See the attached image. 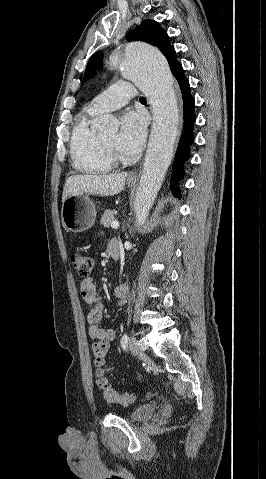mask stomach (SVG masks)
<instances>
[{"instance_id":"1","label":"stomach","mask_w":266,"mask_h":479,"mask_svg":"<svg viewBox=\"0 0 266 479\" xmlns=\"http://www.w3.org/2000/svg\"><path fill=\"white\" fill-rule=\"evenodd\" d=\"M128 184L133 186L135 181L128 180ZM61 217L62 224L68 231L84 232L95 222V205L86 194L69 196L62 204Z\"/></svg>"}]
</instances>
